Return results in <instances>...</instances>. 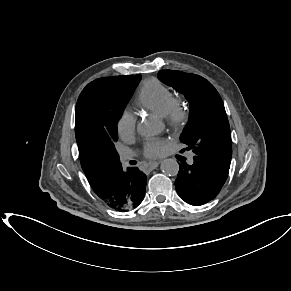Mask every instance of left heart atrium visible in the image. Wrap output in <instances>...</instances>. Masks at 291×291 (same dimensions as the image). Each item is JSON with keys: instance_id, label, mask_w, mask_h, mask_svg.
I'll return each instance as SVG.
<instances>
[{"instance_id": "39dd6f15", "label": "left heart atrium", "mask_w": 291, "mask_h": 291, "mask_svg": "<svg viewBox=\"0 0 291 291\" xmlns=\"http://www.w3.org/2000/svg\"><path fill=\"white\" fill-rule=\"evenodd\" d=\"M167 150V142L162 139H149L145 142L143 153L148 158L162 156Z\"/></svg>"}]
</instances>
